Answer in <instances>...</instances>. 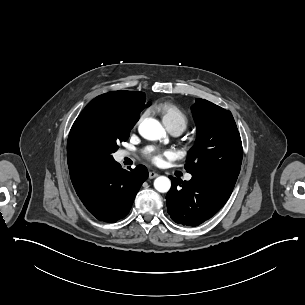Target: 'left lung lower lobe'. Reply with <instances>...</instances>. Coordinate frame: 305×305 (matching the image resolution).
I'll return each mask as SVG.
<instances>
[{
	"label": "left lung lower lobe",
	"instance_id": "1",
	"mask_svg": "<svg viewBox=\"0 0 305 305\" xmlns=\"http://www.w3.org/2000/svg\"><path fill=\"white\" fill-rule=\"evenodd\" d=\"M172 186L166 196L172 220L198 226L216 214L229 199L236 181L192 175L190 181L170 177Z\"/></svg>",
	"mask_w": 305,
	"mask_h": 305
}]
</instances>
